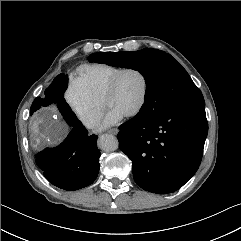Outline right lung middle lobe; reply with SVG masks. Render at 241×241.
Here are the masks:
<instances>
[{"mask_svg": "<svg viewBox=\"0 0 241 241\" xmlns=\"http://www.w3.org/2000/svg\"><path fill=\"white\" fill-rule=\"evenodd\" d=\"M68 86V78L64 74L58 75L52 82V84L45 90V98L37 97L30 109L32 115L36 110L41 107H46L50 104H56L59 111L63 115L67 124L72 121L75 124H80L74 112L63 98L64 92ZM70 124V123H69Z\"/></svg>", "mask_w": 241, "mask_h": 241, "instance_id": "dd1d6c3e", "label": "right lung middle lobe"}]
</instances>
